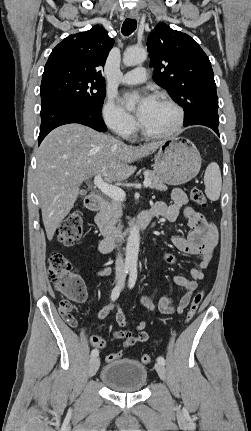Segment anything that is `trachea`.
I'll list each match as a JSON object with an SVG mask.
<instances>
[{"mask_svg":"<svg viewBox=\"0 0 251 431\" xmlns=\"http://www.w3.org/2000/svg\"><path fill=\"white\" fill-rule=\"evenodd\" d=\"M136 27V20L127 18L122 25V34L128 36L135 31Z\"/></svg>","mask_w":251,"mask_h":431,"instance_id":"obj_1","label":"trachea"}]
</instances>
